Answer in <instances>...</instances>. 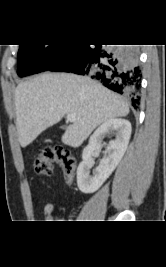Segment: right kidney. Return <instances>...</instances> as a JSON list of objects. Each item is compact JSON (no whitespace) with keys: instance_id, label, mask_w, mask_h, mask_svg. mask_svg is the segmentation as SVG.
I'll list each match as a JSON object with an SVG mask.
<instances>
[{"instance_id":"1","label":"right kidney","mask_w":166,"mask_h":267,"mask_svg":"<svg viewBox=\"0 0 166 267\" xmlns=\"http://www.w3.org/2000/svg\"><path fill=\"white\" fill-rule=\"evenodd\" d=\"M109 132H116V139L109 142L100 165L89 175L94 164V152L103 147V138ZM131 136V124L128 120L114 118L102 123L89 139L82 152V162L77 168V185L83 193L98 190L121 161Z\"/></svg>"}]
</instances>
